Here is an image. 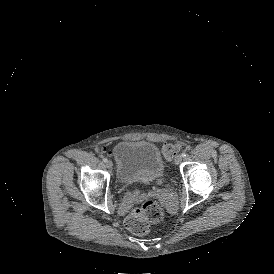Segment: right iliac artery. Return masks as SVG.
I'll return each mask as SVG.
<instances>
[{"mask_svg": "<svg viewBox=\"0 0 274 274\" xmlns=\"http://www.w3.org/2000/svg\"><path fill=\"white\" fill-rule=\"evenodd\" d=\"M108 160L106 158L103 159V162L106 163Z\"/></svg>", "mask_w": 274, "mask_h": 274, "instance_id": "1", "label": "right iliac artery"}]
</instances>
